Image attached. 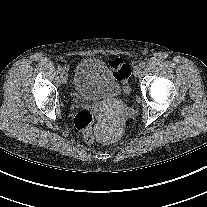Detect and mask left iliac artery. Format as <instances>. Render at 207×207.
<instances>
[{"label": "left iliac artery", "mask_w": 207, "mask_h": 207, "mask_svg": "<svg viewBox=\"0 0 207 207\" xmlns=\"http://www.w3.org/2000/svg\"><path fill=\"white\" fill-rule=\"evenodd\" d=\"M139 66H140L141 68L145 67V62H141V63L139 64Z\"/></svg>", "instance_id": "44dca946"}]
</instances>
